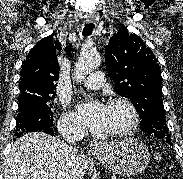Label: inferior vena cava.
Returning a JSON list of instances; mask_svg holds the SVG:
<instances>
[{"label": "inferior vena cava", "mask_w": 183, "mask_h": 179, "mask_svg": "<svg viewBox=\"0 0 183 179\" xmlns=\"http://www.w3.org/2000/svg\"><path fill=\"white\" fill-rule=\"evenodd\" d=\"M84 136L82 129L71 128L63 133V138L68 142L67 150L69 154L70 179H83L80 171L79 153L73 146Z\"/></svg>", "instance_id": "inferior-vena-cava-1"}]
</instances>
